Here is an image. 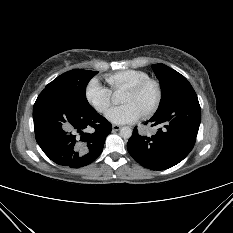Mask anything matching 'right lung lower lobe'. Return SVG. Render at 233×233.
Listing matches in <instances>:
<instances>
[{"mask_svg":"<svg viewBox=\"0 0 233 233\" xmlns=\"http://www.w3.org/2000/svg\"><path fill=\"white\" fill-rule=\"evenodd\" d=\"M36 141L55 163L71 168L93 162L102 152L111 123L92 107L80 106L44 89L33 107ZM93 128L92 132H87Z\"/></svg>","mask_w":233,"mask_h":233,"instance_id":"98d812e1","label":"right lung lower lobe"}]
</instances>
